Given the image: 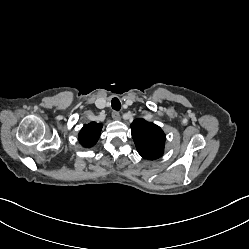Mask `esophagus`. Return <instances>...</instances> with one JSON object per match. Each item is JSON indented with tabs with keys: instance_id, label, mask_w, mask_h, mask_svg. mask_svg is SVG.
<instances>
[{
	"instance_id": "34e87169",
	"label": "esophagus",
	"mask_w": 249,
	"mask_h": 249,
	"mask_svg": "<svg viewBox=\"0 0 249 249\" xmlns=\"http://www.w3.org/2000/svg\"><path fill=\"white\" fill-rule=\"evenodd\" d=\"M112 118H113L114 120H120V114H119V112L113 111V112H112Z\"/></svg>"
}]
</instances>
